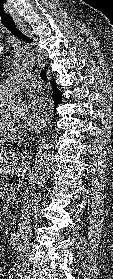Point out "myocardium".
Listing matches in <instances>:
<instances>
[{"mask_svg": "<svg viewBox=\"0 0 113 279\" xmlns=\"http://www.w3.org/2000/svg\"><path fill=\"white\" fill-rule=\"evenodd\" d=\"M2 126L9 132L14 133L18 130L19 126L14 124L8 117V113L4 112L2 116Z\"/></svg>", "mask_w": 113, "mask_h": 279, "instance_id": "myocardium-1", "label": "myocardium"}]
</instances>
